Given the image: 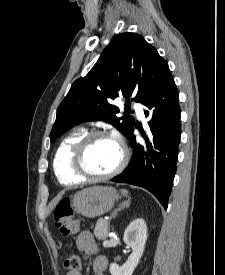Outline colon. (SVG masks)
Returning a JSON list of instances; mask_svg holds the SVG:
<instances>
[{
  "mask_svg": "<svg viewBox=\"0 0 225 275\" xmlns=\"http://www.w3.org/2000/svg\"><path fill=\"white\" fill-rule=\"evenodd\" d=\"M53 217L55 225L62 235L71 237L78 232L79 225L73 218V210L68 198H63L58 202L54 208ZM63 266L68 271H79L81 268L80 258L76 255L69 256L64 260Z\"/></svg>",
  "mask_w": 225,
  "mask_h": 275,
  "instance_id": "1",
  "label": "colon"
}]
</instances>
